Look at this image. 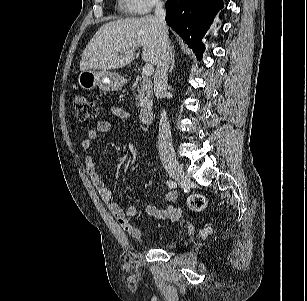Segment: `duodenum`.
Instances as JSON below:
<instances>
[{"label": "duodenum", "instance_id": "obj_1", "mask_svg": "<svg viewBox=\"0 0 307 301\" xmlns=\"http://www.w3.org/2000/svg\"><path fill=\"white\" fill-rule=\"evenodd\" d=\"M139 116L142 123H150L153 116V105L149 102L141 104L139 109Z\"/></svg>", "mask_w": 307, "mask_h": 301}]
</instances>
